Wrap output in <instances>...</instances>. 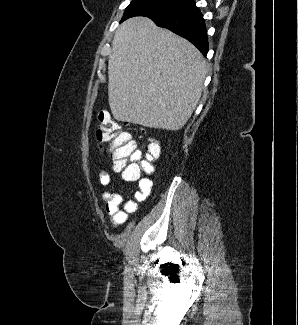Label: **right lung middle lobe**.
I'll use <instances>...</instances> for the list:
<instances>
[{
  "label": "right lung middle lobe",
  "mask_w": 298,
  "mask_h": 325,
  "mask_svg": "<svg viewBox=\"0 0 298 325\" xmlns=\"http://www.w3.org/2000/svg\"><path fill=\"white\" fill-rule=\"evenodd\" d=\"M194 2L193 0H133L125 10L122 21L133 16L149 18L172 13Z\"/></svg>",
  "instance_id": "obj_1"
}]
</instances>
